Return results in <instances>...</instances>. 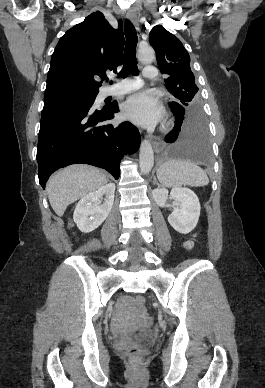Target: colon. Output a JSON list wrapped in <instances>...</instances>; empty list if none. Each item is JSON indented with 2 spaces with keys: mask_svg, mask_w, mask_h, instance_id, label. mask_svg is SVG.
<instances>
[{
  "mask_svg": "<svg viewBox=\"0 0 265 388\" xmlns=\"http://www.w3.org/2000/svg\"><path fill=\"white\" fill-rule=\"evenodd\" d=\"M135 305L139 308L145 306L146 299L143 295H137L135 297ZM123 353L127 355L132 361L137 362L141 357V351L138 348L134 347H125L123 348Z\"/></svg>",
  "mask_w": 265,
  "mask_h": 388,
  "instance_id": "obj_1",
  "label": "colon"
}]
</instances>
